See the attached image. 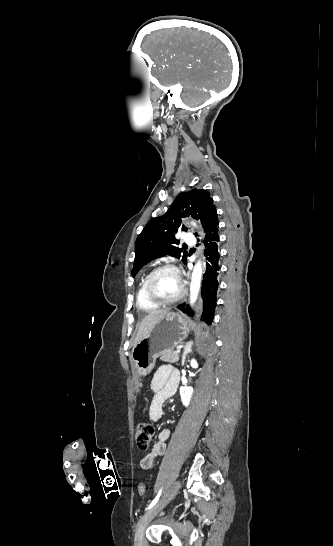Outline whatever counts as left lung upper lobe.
Instances as JSON below:
<instances>
[{
	"mask_svg": "<svg viewBox=\"0 0 333 546\" xmlns=\"http://www.w3.org/2000/svg\"><path fill=\"white\" fill-rule=\"evenodd\" d=\"M216 214L213 199L208 191L193 189L179 194L166 214L149 221L138 236L135 244L133 277L145 264L165 255L182 258V262L186 264L188 254L176 246L179 241L175 238L177 232L185 230L181 218L191 215L194 219L200 220L205 229Z\"/></svg>",
	"mask_w": 333,
	"mask_h": 546,
	"instance_id": "obj_1",
	"label": "left lung upper lobe"
}]
</instances>
